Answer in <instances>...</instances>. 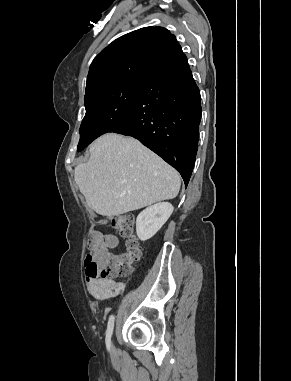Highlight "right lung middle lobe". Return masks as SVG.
<instances>
[{
	"label": "right lung middle lobe",
	"instance_id": "dd1d6c3e",
	"mask_svg": "<svg viewBox=\"0 0 291 381\" xmlns=\"http://www.w3.org/2000/svg\"><path fill=\"white\" fill-rule=\"evenodd\" d=\"M142 84L143 80L127 81L85 98L86 114L80 126L78 152L129 120Z\"/></svg>",
	"mask_w": 291,
	"mask_h": 381
}]
</instances>
